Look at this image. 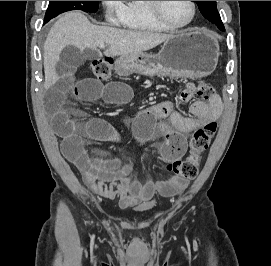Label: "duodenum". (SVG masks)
I'll use <instances>...</instances> for the list:
<instances>
[{
	"label": "duodenum",
	"instance_id": "duodenum-1",
	"mask_svg": "<svg viewBox=\"0 0 271 266\" xmlns=\"http://www.w3.org/2000/svg\"><path fill=\"white\" fill-rule=\"evenodd\" d=\"M119 72H122V69H121V68H119Z\"/></svg>",
	"mask_w": 271,
	"mask_h": 266
}]
</instances>
